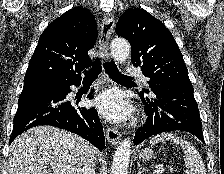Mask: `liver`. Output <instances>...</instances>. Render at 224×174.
Listing matches in <instances>:
<instances>
[{"instance_id": "1", "label": "liver", "mask_w": 224, "mask_h": 174, "mask_svg": "<svg viewBox=\"0 0 224 174\" xmlns=\"http://www.w3.org/2000/svg\"><path fill=\"white\" fill-rule=\"evenodd\" d=\"M87 146L74 133L53 126L33 127L12 142L8 174H76Z\"/></svg>"}]
</instances>
